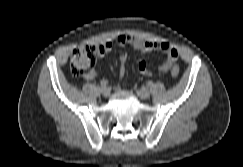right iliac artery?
Masks as SVG:
<instances>
[{"label": "right iliac artery", "mask_w": 243, "mask_h": 167, "mask_svg": "<svg viewBox=\"0 0 243 167\" xmlns=\"http://www.w3.org/2000/svg\"><path fill=\"white\" fill-rule=\"evenodd\" d=\"M100 85H101V87H106L108 85V81L107 80H102L100 82Z\"/></svg>", "instance_id": "1"}]
</instances>
